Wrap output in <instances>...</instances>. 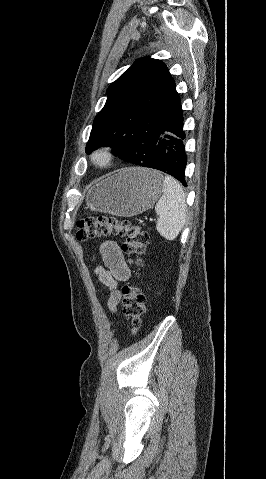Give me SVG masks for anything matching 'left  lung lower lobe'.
Returning a JSON list of instances; mask_svg holds the SVG:
<instances>
[{"label":"left lung lower lobe","instance_id":"0a47b994","mask_svg":"<svg viewBox=\"0 0 266 479\" xmlns=\"http://www.w3.org/2000/svg\"><path fill=\"white\" fill-rule=\"evenodd\" d=\"M186 163L187 155L185 151L181 100L177 95L164 118L155 146L153 160L145 163L143 167L163 171L175 177L184 186H187L185 181Z\"/></svg>","mask_w":266,"mask_h":479}]
</instances>
